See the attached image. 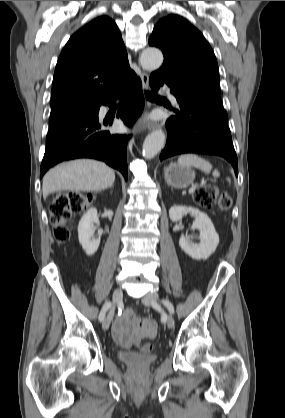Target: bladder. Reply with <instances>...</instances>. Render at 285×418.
Instances as JSON below:
<instances>
[{
  "mask_svg": "<svg viewBox=\"0 0 285 418\" xmlns=\"http://www.w3.org/2000/svg\"><path fill=\"white\" fill-rule=\"evenodd\" d=\"M119 358L130 365L145 366L155 360L150 353H139L133 349H125L119 352Z\"/></svg>",
  "mask_w": 285,
  "mask_h": 418,
  "instance_id": "bladder-1",
  "label": "bladder"
}]
</instances>
